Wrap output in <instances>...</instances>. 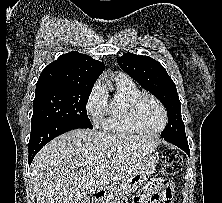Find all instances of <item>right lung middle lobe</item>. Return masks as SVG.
<instances>
[{
  "label": "right lung middle lobe",
  "mask_w": 222,
  "mask_h": 203,
  "mask_svg": "<svg viewBox=\"0 0 222 203\" xmlns=\"http://www.w3.org/2000/svg\"><path fill=\"white\" fill-rule=\"evenodd\" d=\"M92 88L55 86L36 91L31 128L50 122H71L93 128L86 111Z\"/></svg>",
  "instance_id": "right-lung-middle-lobe-1"
}]
</instances>
